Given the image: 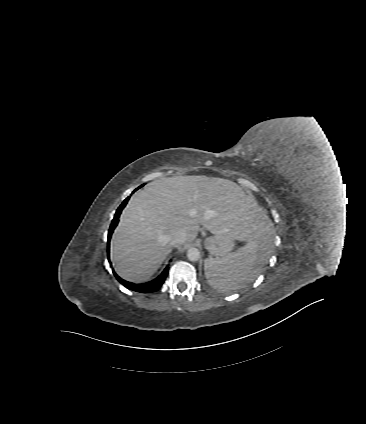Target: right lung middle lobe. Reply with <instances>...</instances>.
I'll return each mask as SVG.
<instances>
[{"mask_svg":"<svg viewBox=\"0 0 366 424\" xmlns=\"http://www.w3.org/2000/svg\"><path fill=\"white\" fill-rule=\"evenodd\" d=\"M143 185H144V184H143ZM143 185H141L140 187H142ZM140 187H139V188H140ZM139 188H137V189H139Z\"/></svg>","mask_w":366,"mask_h":424,"instance_id":"obj_1","label":"right lung middle lobe"}]
</instances>
